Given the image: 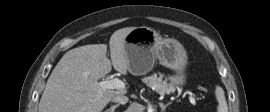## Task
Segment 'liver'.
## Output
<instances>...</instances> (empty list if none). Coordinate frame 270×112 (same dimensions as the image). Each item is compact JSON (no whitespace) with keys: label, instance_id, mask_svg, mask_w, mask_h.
Returning <instances> with one entry per match:
<instances>
[{"label":"liver","instance_id":"obj_1","mask_svg":"<svg viewBox=\"0 0 270 112\" xmlns=\"http://www.w3.org/2000/svg\"><path fill=\"white\" fill-rule=\"evenodd\" d=\"M135 27L116 30L107 45L92 44L69 50L50 74L39 102V112H101L115 95L126 89H102L100 79L111 72V65L125 75L128 60L125 38Z\"/></svg>","mask_w":270,"mask_h":112}]
</instances>
